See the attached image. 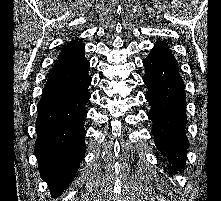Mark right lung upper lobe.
I'll list each match as a JSON object with an SVG mask.
<instances>
[{
	"label": "right lung upper lobe",
	"instance_id": "obj_1",
	"mask_svg": "<svg viewBox=\"0 0 221 201\" xmlns=\"http://www.w3.org/2000/svg\"><path fill=\"white\" fill-rule=\"evenodd\" d=\"M84 52L85 47L81 41H71L61 50L57 63L77 64L86 61Z\"/></svg>",
	"mask_w": 221,
	"mask_h": 201
}]
</instances>
